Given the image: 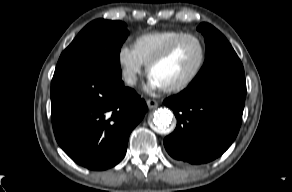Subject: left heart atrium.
<instances>
[{
	"mask_svg": "<svg viewBox=\"0 0 292 192\" xmlns=\"http://www.w3.org/2000/svg\"><path fill=\"white\" fill-rule=\"evenodd\" d=\"M147 89L150 91H155L159 89H163V86L152 76L149 75L147 82Z\"/></svg>",
	"mask_w": 292,
	"mask_h": 192,
	"instance_id": "1",
	"label": "left heart atrium"
}]
</instances>
